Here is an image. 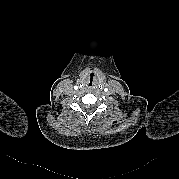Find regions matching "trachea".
<instances>
[{
	"label": "trachea",
	"instance_id": "1",
	"mask_svg": "<svg viewBox=\"0 0 179 179\" xmlns=\"http://www.w3.org/2000/svg\"><path fill=\"white\" fill-rule=\"evenodd\" d=\"M96 81H97L96 76L91 75V76H89L87 83H88V85L93 86V85H95Z\"/></svg>",
	"mask_w": 179,
	"mask_h": 179
}]
</instances>
